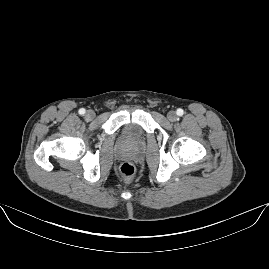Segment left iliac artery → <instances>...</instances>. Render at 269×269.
I'll return each instance as SVG.
<instances>
[{"instance_id":"left-iliac-artery-1","label":"left iliac artery","mask_w":269,"mask_h":269,"mask_svg":"<svg viewBox=\"0 0 269 269\" xmlns=\"http://www.w3.org/2000/svg\"><path fill=\"white\" fill-rule=\"evenodd\" d=\"M176 113H177L178 116H182L184 114V111L179 108V109H177Z\"/></svg>"}]
</instances>
